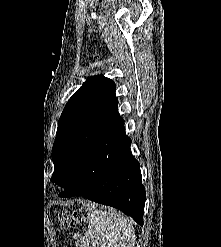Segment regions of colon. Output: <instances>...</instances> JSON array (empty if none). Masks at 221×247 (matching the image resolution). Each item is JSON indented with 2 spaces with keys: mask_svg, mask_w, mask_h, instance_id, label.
<instances>
[{
  "mask_svg": "<svg viewBox=\"0 0 221 247\" xmlns=\"http://www.w3.org/2000/svg\"><path fill=\"white\" fill-rule=\"evenodd\" d=\"M60 219L62 221L63 226H66L68 224V219L63 214L60 215ZM77 223H78L77 215L74 213L71 217V224H77Z\"/></svg>",
  "mask_w": 221,
  "mask_h": 247,
  "instance_id": "colon-1",
  "label": "colon"
}]
</instances>
